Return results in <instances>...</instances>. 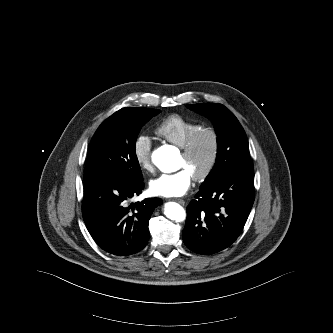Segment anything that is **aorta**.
<instances>
[{"label": "aorta", "instance_id": "obj_1", "mask_svg": "<svg viewBox=\"0 0 333 333\" xmlns=\"http://www.w3.org/2000/svg\"><path fill=\"white\" fill-rule=\"evenodd\" d=\"M178 152L172 146H161L152 153V162L164 173H171L175 170V162ZM165 216L173 221L182 222L186 219L184 208L176 202H168L164 206Z\"/></svg>", "mask_w": 333, "mask_h": 333}]
</instances>
